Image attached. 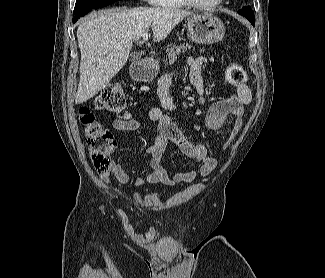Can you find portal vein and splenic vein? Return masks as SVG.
Instances as JSON below:
<instances>
[{
    "label": "portal vein and splenic vein",
    "instance_id": "18ae733b",
    "mask_svg": "<svg viewBox=\"0 0 325 278\" xmlns=\"http://www.w3.org/2000/svg\"><path fill=\"white\" fill-rule=\"evenodd\" d=\"M142 37H143L144 41H147L148 40V32H144L142 34Z\"/></svg>",
    "mask_w": 325,
    "mask_h": 278
}]
</instances>
